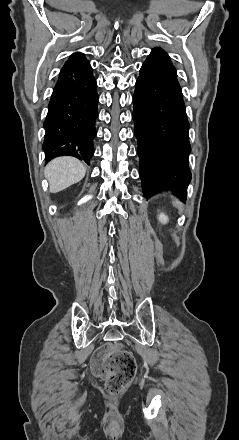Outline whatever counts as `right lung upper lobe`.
Here are the masks:
<instances>
[{
  "instance_id": "obj_1",
  "label": "right lung upper lobe",
  "mask_w": 239,
  "mask_h": 440,
  "mask_svg": "<svg viewBox=\"0 0 239 440\" xmlns=\"http://www.w3.org/2000/svg\"><path fill=\"white\" fill-rule=\"evenodd\" d=\"M68 60L84 61V60H86V58L84 57V54L77 52V53L72 54Z\"/></svg>"
}]
</instances>
